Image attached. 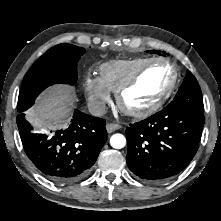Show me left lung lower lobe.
Returning a JSON list of instances; mask_svg holds the SVG:
<instances>
[{
	"label": "left lung lower lobe",
	"instance_id": "1",
	"mask_svg": "<svg viewBox=\"0 0 221 221\" xmlns=\"http://www.w3.org/2000/svg\"><path fill=\"white\" fill-rule=\"evenodd\" d=\"M204 115L171 104L126 129L127 165L136 177L165 182L183 171L196 154Z\"/></svg>",
	"mask_w": 221,
	"mask_h": 221
}]
</instances>
